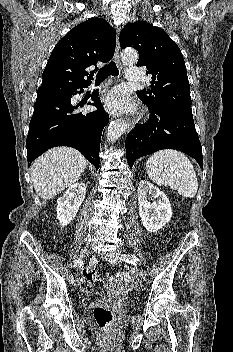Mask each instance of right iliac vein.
Returning a JSON list of instances; mask_svg holds the SVG:
<instances>
[{
  "label": "right iliac vein",
  "instance_id": "obj_1",
  "mask_svg": "<svg viewBox=\"0 0 233 352\" xmlns=\"http://www.w3.org/2000/svg\"><path fill=\"white\" fill-rule=\"evenodd\" d=\"M89 254H90V249H89L88 247H85V248H83V249L81 250V252H80V257L85 258V257H87ZM79 283H80V279H79V278H76V280H75V285L77 286V285H79Z\"/></svg>",
  "mask_w": 233,
  "mask_h": 352
}]
</instances>
